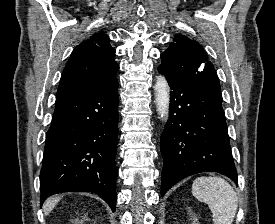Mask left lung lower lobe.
Instances as JSON below:
<instances>
[{
    "label": "left lung lower lobe",
    "mask_w": 275,
    "mask_h": 224,
    "mask_svg": "<svg viewBox=\"0 0 275 224\" xmlns=\"http://www.w3.org/2000/svg\"><path fill=\"white\" fill-rule=\"evenodd\" d=\"M169 120L161 135V195L181 179L218 172L237 184L221 93L191 80H168Z\"/></svg>",
    "instance_id": "1"
}]
</instances>
